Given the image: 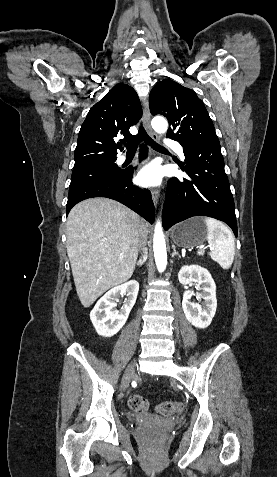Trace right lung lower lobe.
<instances>
[{
    "label": "right lung lower lobe",
    "mask_w": 277,
    "mask_h": 477,
    "mask_svg": "<svg viewBox=\"0 0 277 477\" xmlns=\"http://www.w3.org/2000/svg\"><path fill=\"white\" fill-rule=\"evenodd\" d=\"M147 156V148L141 146L140 159ZM133 168L125 169L121 176H107L87 182L78 188L69 191L66 213L78 202L93 198L107 197L126 205L151 224L154 222L155 208L151 193L146 189H140L131 182Z\"/></svg>",
    "instance_id": "right-lung-lower-lobe-1"
}]
</instances>
